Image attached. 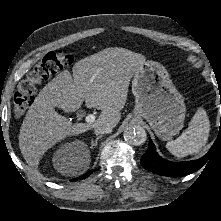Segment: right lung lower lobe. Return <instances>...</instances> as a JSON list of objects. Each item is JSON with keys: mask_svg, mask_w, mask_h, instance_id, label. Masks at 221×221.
<instances>
[{"mask_svg": "<svg viewBox=\"0 0 221 221\" xmlns=\"http://www.w3.org/2000/svg\"><path fill=\"white\" fill-rule=\"evenodd\" d=\"M91 173H92V170L89 171L88 173H86L85 175H83L82 177H80L79 179L86 178V177H88ZM76 180H77V178H75V179H73V180H71V181H76Z\"/></svg>", "mask_w": 221, "mask_h": 221, "instance_id": "right-lung-lower-lobe-1", "label": "right lung lower lobe"}]
</instances>
